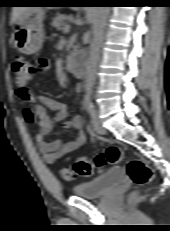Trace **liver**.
<instances>
[{
    "label": "liver",
    "instance_id": "1",
    "mask_svg": "<svg viewBox=\"0 0 170 231\" xmlns=\"http://www.w3.org/2000/svg\"><path fill=\"white\" fill-rule=\"evenodd\" d=\"M40 7H14L12 11L11 21L10 24L13 25L19 17L28 9H38Z\"/></svg>",
    "mask_w": 170,
    "mask_h": 231
}]
</instances>
